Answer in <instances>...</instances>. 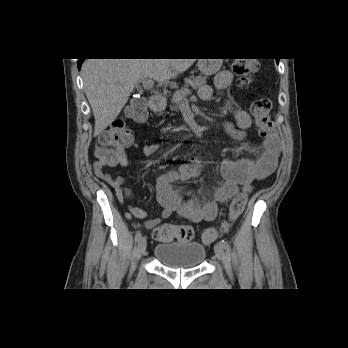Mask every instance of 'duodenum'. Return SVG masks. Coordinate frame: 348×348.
<instances>
[{
  "label": "duodenum",
  "mask_w": 348,
  "mask_h": 348,
  "mask_svg": "<svg viewBox=\"0 0 348 348\" xmlns=\"http://www.w3.org/2000/svg\"><path fill=\"white\" fill-rule=\"evenodd\" d=\"M165 105L163 97L155 95L150 99V108L153 111H161Z\"/></svg>",
  "instance_id": "duodenum-1"
}]
</instances>
